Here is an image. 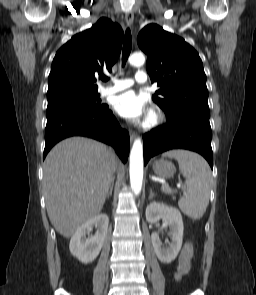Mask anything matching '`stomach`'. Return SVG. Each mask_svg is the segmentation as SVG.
<instances>
[{
  "label": "stomach",
  "mask_w": 256,
  "mask_h": 295,
  "mask_svg": "<svg viewBox=\"0 0 256 295\" xmlns=\"http://www.w3.org/2000/svg\"><path fill=\"white\" fill-rule=\"evenodd\" d=\"M152 168L154 173L162 178L172 177L176 171L174 164L165 159L156 160Z\"/></svg>",
  "instance_id": "obj_1"
}]
</instances>
